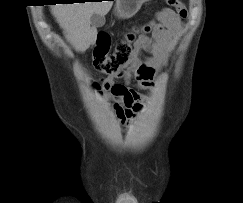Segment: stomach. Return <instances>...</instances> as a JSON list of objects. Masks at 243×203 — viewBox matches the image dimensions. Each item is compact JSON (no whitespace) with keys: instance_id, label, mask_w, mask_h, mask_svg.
<instances>
[{"instance_id":"obj_1","label":"stomach","mask_w":243,"mask_h":203,"mask_svg":"<svg viewBox=\"0 0 243 203\" xmlns=\"http://www.w3.org/2000/svg\"><path fill=\"white\" fill-rule=\"evenodd\" d=\"M148 0H117L116 15L123 19H128L134 16L142 4Z\"/></svg>"}]
</instances>
